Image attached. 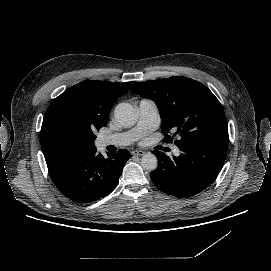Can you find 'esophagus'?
<instances>
[{
	"label": "esophagus",
	"instance_id": "1",
	"mask_svg": "<svg viewBox=\"0 0 271 271\" xmlns=\"http://www.w3.org/2000/svg\"><path fill=\"white\" fill-rule=\"evenodd\" d=\"M131 154L137 155V156H143L145 154V152L141 151V150H133V151H131Z\"/></svg>",
	"mask_w": 271,
	"mask_h": 271
}]
</instances>
